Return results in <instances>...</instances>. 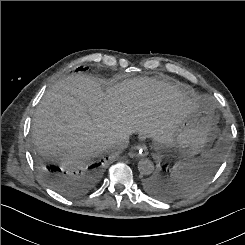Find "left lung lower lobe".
Returning a JSON list of instances; mask_svg holds the SVG:
<instances>
[{"label":"left lung lower lobe","mask_w":245,"mask_h":245,"mask_svg":"<svg viewBox=\"0 0 245 245\" xmlns=\"http://www.w3.org/2000/svg\"><path fill=\"white\" fill-rule=\"evenodd\" d=\"M171 166L167 163H163L161 172L147 177L143 181V187L147 193L159 198L166 199L170 196V190L166 185V181L172 176Z\"/></svg>","instance_id":"0a47b994"}]
</instances>
